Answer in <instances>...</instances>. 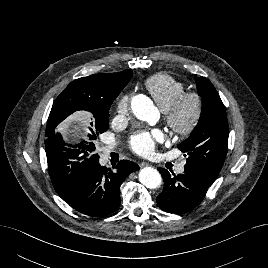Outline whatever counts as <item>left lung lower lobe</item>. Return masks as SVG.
<instances>
[{
  "instance_id": "left-lung-lower-lobe-1",
  "label": "left lung lower lobe",
  "mask_w": 268,
  "mask_h": 268,
  "mask_svg": "<svg viewBox=\"0 0 268 268\" xmlns=\"http://www.w3.org/2000/svg\"><path fill=\"white\" fill-rule=\"evenodd\" d=\"M164 180L163 191L157 197L160 209L170 213H186L194 209L204 199L214 180L204 174L186 168L183 174L171 176L163 168H158Z\"/></svg>"
}]
</instances>
